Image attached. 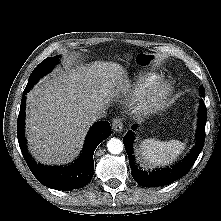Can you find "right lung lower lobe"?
Returning a JSON list of instances; mask_svg holds the SVG:
<instances>
[{
	"label": "right lung lower lobe",
	"mask_w": 221,
	"mask_h": 221,
	"mask_svg": "<svg viewBox=\"0 0 221 221\" xmlns=\"http://www.w3.org/2000/svg\"><path fill=\"white\" fill-rule=\"evenodd\" d=\"M32 88V87H31ZM25 88L23 96L31 89ZM25 96L21 100L17 120V136L21 152L33 175L43 185L57 190H72L84 187L93 176V154L97 146L111 135L109 122L101 121L93 125L86 138L84 150L80 158L72 165L65 167H47L35 163L27 152L24 137Z\"/></svg>",
	"instance_id": "1"
}]
</instances>
